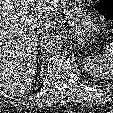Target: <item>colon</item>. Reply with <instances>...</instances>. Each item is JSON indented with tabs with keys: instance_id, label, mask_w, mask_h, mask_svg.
<instances>
[{
	"instance_id": "colon-1",
	"label": "colon",
	"mask_w": 113,
	"mask_h": 113,
	"mask_svg": "<svg viewBox=\"0 0 113 113\" xmlns=\"http://www.w3.org/2000/svg\"><path fill=\"white\" fill-rule=\"evenodd\" d=\"M97 10L103 19L113 21V0H98Z\"/></svg>"
}]
</instances>
